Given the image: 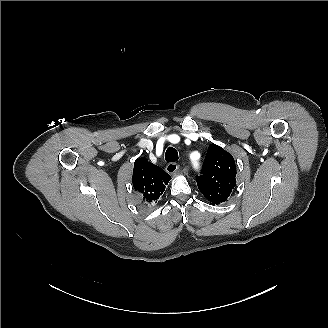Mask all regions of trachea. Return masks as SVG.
<instances>
[{
  "label": "trachea",
  "mask_w": 328,
  "mask_h": 328,
  "mask_svg": "<svg viewBox=\"0 0 328 328\" xmlns=\"http://www.w3.org/2000/svg\"><path fill=\"white\" fill-rule=\"evenodd\" d=\"M178 152L173 147H168L165 153V159L167 162H175L178 160Z\"/></svg>",
  "instance_id": "trachea-1"
}]
</instances>
